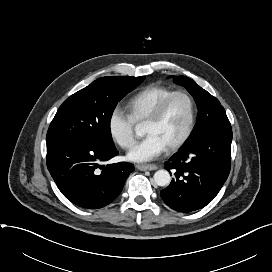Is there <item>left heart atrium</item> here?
Listing matches in <instances>:
<instances>
[{"label":"left heart atrium","instance_id":"1","mask_svg":"<svg viewBox=\"0 0 272 272\" xmlns=\"http://www.w3.org/2000/svg\"><path fill=\"white\" fill-rule=\"evenodd\" d=\"M166 149L158 136L150 134L129 151L127 158L133 162H147L160 156Z\"/></svg>","mask_w":272,"mask_h":272}]
</instances>
